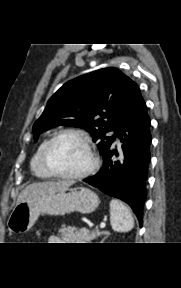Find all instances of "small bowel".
<instances>
[{"instance_id":"1","label":"small bowel","mask_w":181,"mask_h":288,"mask_svg":"<svg viewBox=\"0 0 181 288\" xmlns=\"http://www.w3.org/2000/svg\"><path fill=\"white\" fill-rule=\"evenodd\" d=\"M58 241H59L58 237H56V236H51L50 237V242L51 243H57Z\"/></svg>"}]
</instances>
